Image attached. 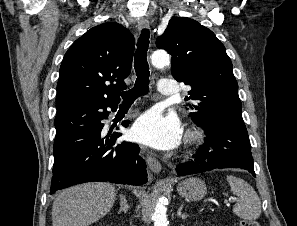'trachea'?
I'll return each instance as SVG.
<instances>
[{
  "label": "trachea",
  "mask_w": 297,
  "mask_h": 226,
  "mask_svg": "<svg viewBox=\"0 0 297 226\" xmlns=\"http://www.w3.org/2000/svg\"><path fill=\"white\" fill-rule=\"evenodd\" d=\"M149 36V30L142 29L134 55V68L137 78L131 90L122 92L123 104H132L139 96L146 95L149 91L150 72L147 62Z\"/></svg>",
  "instance_id": "trachea-1"
}]
</instances>
